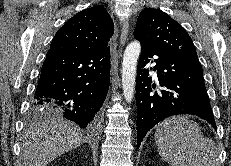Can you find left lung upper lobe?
I'll use <instances>...</instances> for the list:
<instances>
[{
  "instance_id": "1",
  "label": "left lung upper lobe",
  "mask_w": 231,
  "mask_h": 166,
  "mask_svg": "<svg viewBox=\"0 0 231 166\" xmlns=\"http://www.w3.org/2000/svg\"><path fill=\"white\" fill-rule=\"evenodd\" d=\"M134 37L169 56L199 61L192 39L185 29L159 9L146 8L141 11Z\"/></svg>"
}]
</instances>
